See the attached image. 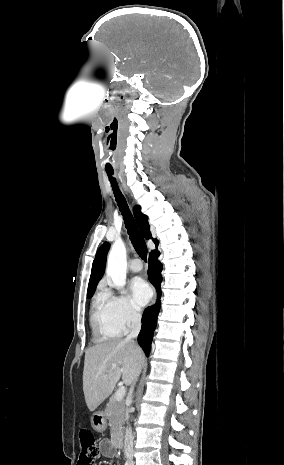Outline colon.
<instances>
[{"instance_id": "1", "label": "colon", "mask_w": 284, "mask_h": 465, "mask_svg": "<svg viewBox=\"0 0 284 465\" xmlns=\"http://www.w3.org/2000/svg\"><path fill=\"white\" fill-rule=\"evenodd\" d=\"M79 440L81 446L79 465H92L96 454V441L92 432L88 429H81Z\"/></svg>"}]
</instances>
